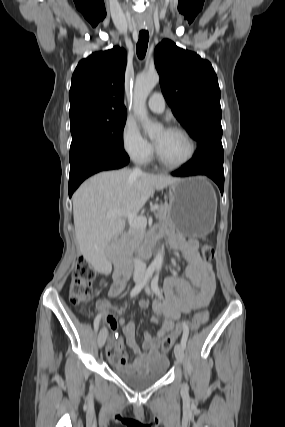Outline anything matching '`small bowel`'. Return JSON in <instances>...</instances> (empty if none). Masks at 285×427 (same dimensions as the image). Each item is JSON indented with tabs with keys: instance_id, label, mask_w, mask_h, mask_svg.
Instances as JSON below:
<instances>
[{
	"instance_id": "obj_1",
	"label": "small bowel",
	"mask_w": 285,
	"mask_h": 427,
	"mask_svg": "<svg viewBox=\"0 0 285 427\" xmlns=\"http://www.w3.org/2000/svg\"><path fill=\"white\" fill-rule=\"evenodd\" d=\"M170 243L173 249L182 253L185 260L183 276H169L164 283V299L155 300L152 304L153 322H160L161 326L156 334L144 333L142 344L136 339L135 324L126 321L123 317L116 319L110 313L113 306L107 300L97 302V309L103 314L105 322L113 332L117 327H122L128 347L133 351L135 359L128 362V353L123 347L122 340L111 341L106 348L108 359L111 363L123 367L127 370L144 371L147 368H156L167 362L164 355L159 352V345L162 338L171 332L174 323L179 321L183 315L189 314L193 310L206 307L216 290L215 275L212 265L201 258L198 251V242L194 239L185 240L177 234H170ZM126 282L114 277L108 294L110 297L118 296L125 288ZM149 307L147 300H141L138 308ZM118 314H123L124 308H117ZM208 315L205 314L204 322ZM117 352L120 360L115 361L112 354Z\"/></svg>"
}]
</instances>
